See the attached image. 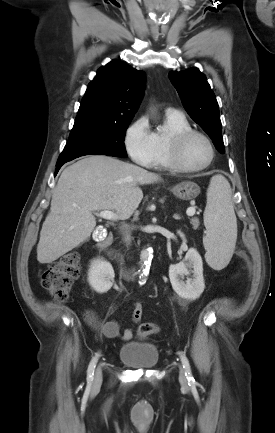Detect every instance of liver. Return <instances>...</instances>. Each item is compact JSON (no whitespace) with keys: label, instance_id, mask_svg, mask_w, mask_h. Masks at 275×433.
Returning <instances> with one entry per match:
<instances>
[{"label":"liver","instance_id":"liver-1","mask_svg":"<svg viewBox=\"0 0 275 433\" xmlns=\"http://www.w3.org/2000/svg\"><path fill=\"white\" fill-rule=\"evenodd\" d=\"M161 180L158 174L105 155L68 166L42 225L37 260L52 263L86 241L96 226L94 211L113 210L121 220L130 218L143 198L139 185Z\"/></svg>","mask_w":275,"mask_h":433}]
</instances>
